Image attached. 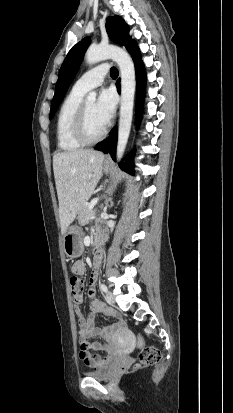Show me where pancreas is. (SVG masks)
I'll list each match as a JSON object with an SVG mask.
<instances>
[{
	"instance_id": "pancreas-1",
	"label": "pancreas",
	"mask_w": 233,
	"mask_h": 413,
	"mask_svg": "<svg viewBox=\"0 0 233 413\" xmlns=\"http://www.w3.org/2000/svg\"><path fill=\"white\" fill-rule=\"evenodd\" d=\"M96 210L89 209V205H84L78 214V222L80 225H86L90 220H92L95 216Z\"/></svg>"
}]
</instances>
